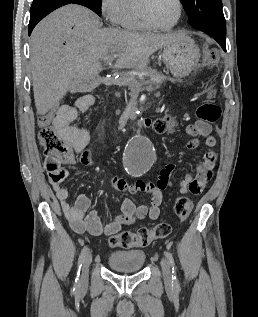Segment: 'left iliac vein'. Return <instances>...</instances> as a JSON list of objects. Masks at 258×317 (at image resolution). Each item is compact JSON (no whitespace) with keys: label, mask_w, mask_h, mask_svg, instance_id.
I'll return each instance as SVG.
<instances>
[{"label":"left iliac vein","mask_w":258,"mask_h":317,"mask_svg":"<svg viewBox=\"0 0 258 317\" xmlns=\"http://www.w3.org/2000/svg\"><path fill=\"white\" fill-rule=\"evenodd\" d=\"M161 260L163 261L164 259L162 258ZM163 262L165 263L166 261L164 260ZM163 275L166 279H169L172 275V272L170 271V266L167 263H165L163 266Z\"/></svg>","instance_id":"1"}]
</instances>
